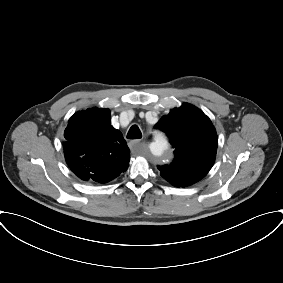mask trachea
Here are the masks:
<instances>
[{"label":"trachea","instance_id":"3493384b","mask_svg":"<svg viewBox=\"0 0 283 283\" xmlns=\"http://www.w3.org/2000/svg\"><path fill=\"white\" fill-rule=\"evenodd\" d=\"M128 139H139L142 138V133L137 125L131 126L127 133Z\"/></svg>","mask_w":283,"mask_h":283}]
</instances>
